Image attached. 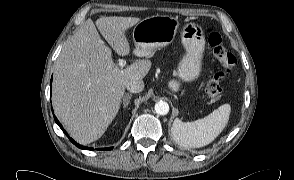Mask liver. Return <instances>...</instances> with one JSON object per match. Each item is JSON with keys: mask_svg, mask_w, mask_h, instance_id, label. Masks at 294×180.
Listing matches in <instances>:
<instances>
[{"mask_svg": "<svg viewBox=\"0 0 294 180\" xmlns=\"http://www.w3.org/2000/svg\"><path fill=\"white\" fill-rule=\"evenodd\" d=\"M140 22L137 17H101L97 29L122 56L129 55L125 31ZM88 19L69 38L54 64L52 104L70 136L80 144L99 139L117 115L126 84L142 80L150 70L149 60L120 68L111 49Z\"/></svg>", "mask_w": 294, "mask_h": 180, "instance_id": "liver-1", "label": "liver"}]
</instances>
